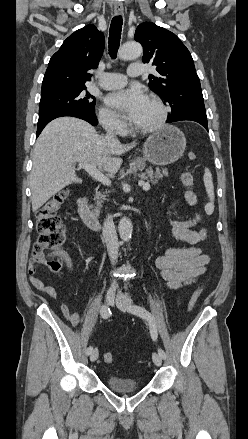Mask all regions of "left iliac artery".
I'll list each match as a JSON object with an SVG mask.
<instances>
[{
    "label": "left iliac artery",
    "mask_w": 248,
    "mask_h": 439,
    "mask_svg": "<svg viewBox=\"0 0 248 439\" xmlns=\"http://www.w3.org/2000/svg\"><path fill=\"white\" fill-rule=\"evenodd\" d=\"M130 310L133 314L140 316L148 321L151 337L155 341L157 339V327H156L155 319L152 316V314L148 312L145 308L138 305H132L130 307ZM158 353L162 357V359H165L167 356L164 350L160 348L158 349Z\"/></svg>",
    "instance_id": "left-iliac-artery-1"
}]
</instances>
